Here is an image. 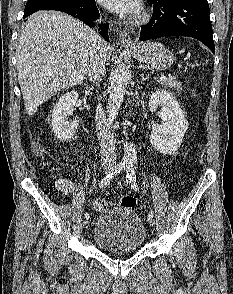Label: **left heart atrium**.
<instances>
[{
    "instance_id": "left-heart-atrium-1",
    "label": "left heart atrium",
    "mask_w": 233,
    "mask_h": 294,
    "mask_svg": "<svg viewBox=\"0 0 233 294\" xmlns=\"http://www.w3.org/2000/svg\"><path fill=\"white\" fill-rule=\"evenodd\" d=\"M109 10L122 15H136L141 9L140 0H98Z\"/></svg>"
}]
</instances>
